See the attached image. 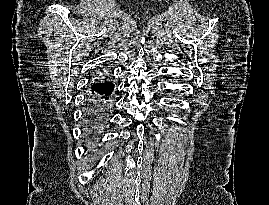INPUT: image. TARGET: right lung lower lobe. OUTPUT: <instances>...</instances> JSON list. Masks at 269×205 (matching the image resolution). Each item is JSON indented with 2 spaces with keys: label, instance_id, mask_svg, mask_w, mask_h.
<instances>
[{
  "label": "right lung lower lobe",
  "instance_id": "obj_1",
  "mask_svg": "<svg viewBox=\"0 0 269 205\" xmlns=\"http://www.w3.org/2000/svg\"><path fill=\"white\" fill-rule=\"evenodd\" d=\"M114 84L96 83L91 87V101L87 106V127L89 130H96L106 109V102L112 94Z\"/></svg>",
  "mask_w": 269,
  "mask_h": 205
}]
</instances>
